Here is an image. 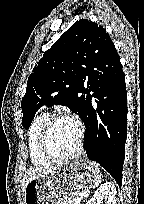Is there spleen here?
<instances>
[{
	"label": "spleen",
	"mask_w": 144,
	"mask_h": 204,
	"mask_svg": "<svg viewBox=\"0 0 144 204\" xmlns=\"http://www.w3.org/2000/svg\"><path fill=\"white\" fill-rule=\"evenodd\" d=\"M101 180H102V174L100 173L99 170H97L96 179L93 182L94 187H97L99 185V183H101Z\"/></svg>",
	"instance_id": "1"
}]
</instances>
